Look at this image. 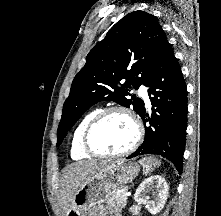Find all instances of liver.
I'll list each match as a JSON object with an SVG mask.
<instances>
[{"mask_svg":"<svg viewBox=\"0 0 221 216\" xmlns=\"http://www.w3.org/2000/svg\"><path fill=\"white\" fill-rule=\"evenodd\" d=\"M106 161L97 162L95 160L84 161L75 166L68 167L61 179L59 199L65 212H67L71 199L77 189L92 175L104 168Z\"/></svg>","mask_w":221,"mask_h":216,"instance_id":"liver-1","label":"liver"}]
</instances>
